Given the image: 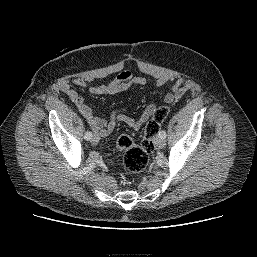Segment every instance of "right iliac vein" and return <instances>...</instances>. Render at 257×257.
I'll return each mask as SVG.
<instances>
[{"label": "right iliac vein", "instance_id": "right-iliac-vein-1", "mask_svg": "<svg viewBox=\"0 0 257 257\" xmlns=\"http://www.w3.org/2000/svg\"><path fill=\"white\" fill-rule=\"evenodd\" d=\"M98 142H99V138L96 137L95 135H93V136L91 137V143H92V144H97Z\"/></svg>", "mask_w": 257, "mask_h": 257}]
</instances>
